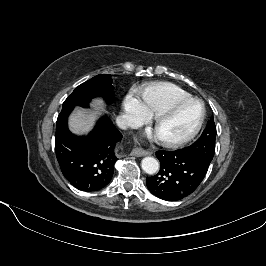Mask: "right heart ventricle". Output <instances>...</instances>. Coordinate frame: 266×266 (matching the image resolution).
<instances>
[{
    "instance_id": "obj_1",
    "label": "right heart ventricle",
    "mask_w": 266,
    "mask_h": 266,
    "mask_svg": "<svg viewBox=\"0 0 266 266\" xmlns=\"http://www.w3.org/2000/svg\"><path fill=\"white\" fill-rule=\"evenodd\" d=\"M189 98L191 95L187 91L168 82L152 83L142 90V100L152 116H156L178 101Z\"/></svg>"
}]
</instances>
